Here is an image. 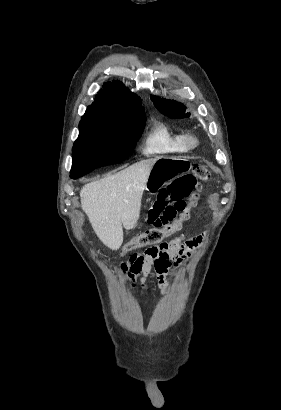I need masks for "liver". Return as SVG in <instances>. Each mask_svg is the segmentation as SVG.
<instances>
[{"mask_svg":"<svg viewBox=\"0 0 281 410\" xmlns=\"http://www.w3.org/2000/svg\"><path fill=\"white\" fill-rule=\"evenodd\" d=\"M156 159L142 160L82 187V210L108 248L118 250L123 243V227L130 230L137 225L143 191Z\"/></svg>","mask_w":281,"mask_h":410,"instance_id":"1","label":"liver"}]
</instances>
